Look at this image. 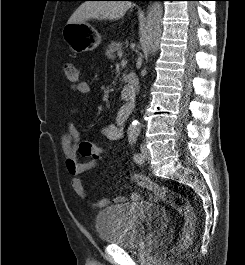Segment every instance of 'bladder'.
<instances>
[{"instance_id": "obj_1", "label": "bladder", "mask_w": 245, "mask_h": 265, "mask_svg": "<svg viewBox=\"0 0 245 265\" xmlns=\"http://www.w3.org/2000/svg\"><path fill=\"white\" fill-rule=\"evenodd\" d=\"M169 221L162 206L138 202L105 207L96 215L95 228L104 243L140 248L162 234Z\"/></svg>"}]
</instances>
